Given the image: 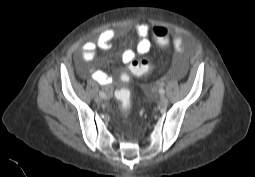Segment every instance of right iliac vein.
Masks as SVG:
<instances>
[{"label": "right iliac vein", "mask_w": 255, "mask_h": 177, "mask_svg": "<svg viewBox=\"0 0 255 177\" xmlns=\"http://www.w3.org/2000/svg\"><path fill=\"white\" fill-rule=\"evenodd\" d=\"M95 102H96L97 104H100V103L102 102L101 97H99V96L95 97Z\"/></svg>", "instance_id": "right-iliac-vein-1"}]
</instances>
